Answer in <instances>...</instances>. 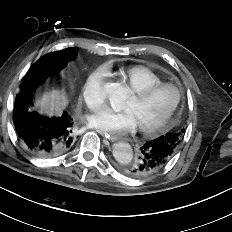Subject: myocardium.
Wrapping results in <instances>:
<instances>
[{
	"mask_svg": "<svg viewBox=\"0 0 232 232\" xmlns=\"http://www.w3.org/2000/svg\"><path fill=\"white\" fill-rule=\"evenodd\" d=\"M163 88L173 89L176 94L175 100L173 104L171 105V107L169 108V110L167 111L166 115L162 119L148 126H138L139 131L144 135H153L159 132L160 130L164 129L170 123V121L172 120L174 114L178 110L179 105L181 103L182 90L180 89L179 86L173 83L160 82V83L151 84L141 89L133 91V96L136 99L143 100L147 98L149 95H151L152 93H154L155 91L159 89H163Z\"/></svg>",
	"mask_w": 232,
	"mask_h": 232,
	"instance_id": "myocardium-1",
	"label": "myocardium"
}]
</instances>
